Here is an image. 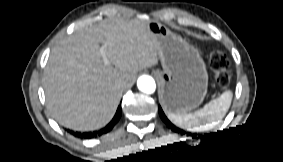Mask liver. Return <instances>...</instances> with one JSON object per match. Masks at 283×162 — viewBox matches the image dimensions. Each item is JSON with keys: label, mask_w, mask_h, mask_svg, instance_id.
Segmentation results:
<instances>
[{"label": "liver", "mask_w": 283, "mask_h": 162, "mask_svg": "<svg viewBox=\"0 0 283 162\" xmlns=\"http://www.w3.org/2000/svg\"><path fill=\"white\" fill-rule=\"evenodd\" d=\"M148 21L109 20L78 30L52 48L43 88L46 107L59 124L92 131L110 122L137 72L158 63L156 43L146 30Z\"/></svg>", "instance_id": "liver-1"}]
</instances>
